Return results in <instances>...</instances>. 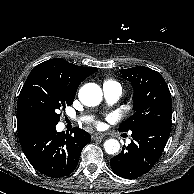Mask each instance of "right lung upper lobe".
Segmentation results:
<instances>
[{
    "instance_id": "obj_1",
    "label": "right lung upper lobe",
    "mask_w": 194,
    "mask_h": 194,
    "mask_svg": "<svg viewBox=\"0 0 194 194\" xmlns=\"http://www.w3.org/2000/svg\"><path fill=\"white\" fill-rule=\"evenodd\" d=\"M98 68H85L69 63L64 59L55 58L47 60L37 65L31 72H48L56 81L62 84L68 91L76 94L79 84L88 76L96 72ZM33 126V124L24 120L17 111L18 132Z\"/></svg>"
}]
</instances>
